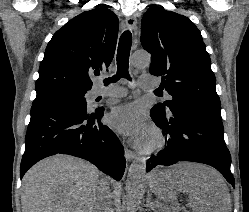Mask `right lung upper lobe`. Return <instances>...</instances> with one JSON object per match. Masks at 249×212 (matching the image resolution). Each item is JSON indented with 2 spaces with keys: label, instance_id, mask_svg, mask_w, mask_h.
I'll use <instances>...</instances> for the list:
<instances>
[{
  "label": "right lung upper lobe",
  "instance_id": "right-lung-upper-lobe-1",
  "mask_svg": "<svg viewBox=\"0 0 249 212\" xmlns=\"http://www.w3.org/2000/svg\"><path fill=\"white\" fill-rule=\"evenodd\" d=\"M119 20L106 7L71 19L52 37L40 63L38 95L56 91L87 92L93 70H106L116 48Z\"/></svg>",
  "mask_w": 249,
  "mask_h": 212
}]
</instances>
